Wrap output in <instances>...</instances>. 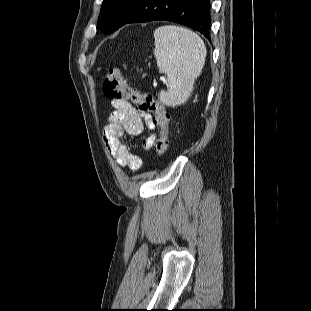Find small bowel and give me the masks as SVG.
Instances as JSON below:
<instances>
[{"mask_svg":"<svg viewBox=\"0 0 311 311\" xmlns=\"http://www.w3.org/2000/svg\"><path fill=\"white\" fill-rule=\"evenodd\" d=\"M111 105L114 110L104 130L106 145L118 165L137 171L141 168L142 159L130 151L123 137L125 134L140 135L145 128L153 131L156 124L150 114L137 110L128 101L112 100ZM155 138L154 133L147 136L142 142L143 149L150 150Z\"/></svg>","mask_w":311,"mask_h":311,"instance_id":"c3829d8e","label":"small bowel"}]
</instances>
